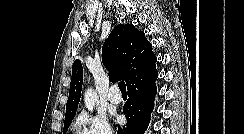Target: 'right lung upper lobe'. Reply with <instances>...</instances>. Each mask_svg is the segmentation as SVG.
Listing matches in <instances>:
<instances>
[{
    "mask_svg": "<svg viewBox=\"0 0 244 134\" xmlns=\"http://www.w3.org/2000/svg\"><path fill=\"white\" fill-rule=\"evenodd\" d=\"M102 61L110 73V81L123 79L127 88L158 74L151 43L132 24H119L112 30L102 48ZM82 82L83 68L80 60H76L72 66L65 117L75 116Z\"/></svg>",
    "mask_w": 244,
    "mask_h": 134,
    "instance_id": "right-lung-upper-lobe-1",
    "label": "right lung upper lobe"
}]
</instances>
